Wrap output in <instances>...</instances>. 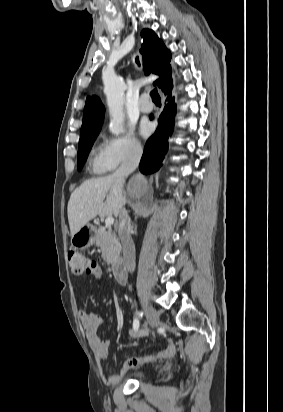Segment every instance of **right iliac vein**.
Instances as JSON below:
<instances>
[{
	"label": "right iliac vein",
	"mask_w": 283,
	"mask_h": 412,
	"mask_svg": "<svg viewBox=\"0 0 283 412\" xmlns=\"http://www.w3.org/2000/svg\"><path fill=\"white\" fill-rule=\"evenodd\" d=\"M145 311L147 318L152 329H155L159 325V315L158 312L151 306L145 305Z\"/></svg>",
	"instance_id": "obj_1"
}]
</instances>
